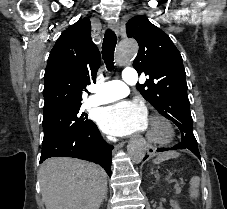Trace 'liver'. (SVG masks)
I'll use <instances>...</instances> for the list:
<instances>
[{"mask_svg": "<svg viewBox=\"0 0 227 209\" xmlns=\"http://www.w3.org/2000/svg\"><path fill=\"white\" fill-rule=\"evenodd\" d=\"M46 209H99L107 193V175L99 165L52 157L39 169Z\"/></svg>", "mask_w": 227, "mask_h": 209, "instance_id": "6515ba94", "label": "liver"}]
</instances>
